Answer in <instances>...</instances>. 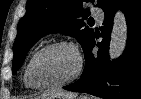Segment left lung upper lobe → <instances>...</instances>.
Masks as SVG:
<instances>
[{
	"instance_id": "5c2ea615",
	"label": "left lung upper lobe",
	"mask_w": 141,
	"mask_h": 99,
	"mask_svg": "<svg viewBox=\"0 0 141 99\" xmlns=\"http://www.w3.org/2000/svg\"><path fill=\"white\" fill-rule=\"evenodd\" d=\"M114 1L97 0L96 6L104 10ZM85 2L88 0H28L26 14L19 21L13 46V74L22 66L28 50L48 33L60 32L73 36L85 50L94 37L92 29L83 28V19H87L90 13L83 8Z\"/></svg>"
}]
</instances>
